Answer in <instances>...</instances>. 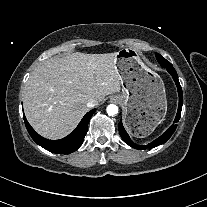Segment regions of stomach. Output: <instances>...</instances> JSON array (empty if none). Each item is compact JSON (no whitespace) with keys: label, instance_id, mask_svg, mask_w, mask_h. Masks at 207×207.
I'll return each mask as SVG.
<instances>
[{"label":"stomach","instance_id":"0dacf381","mask_svg":"<svg viewBox=\"0 0 207 207\" xmlns=\"http://www.w3.org/2000/svg\"><path fill=\"white\" fill-rule=\"evenodd\" d=\"M122 91L114 96L125 111V122L135 135H148L163 120L167 100L163 81L140 61L137 52L123 48L116 54Z\"/></svg>","mask_w":207,"mask_h":207}]
</instances>
